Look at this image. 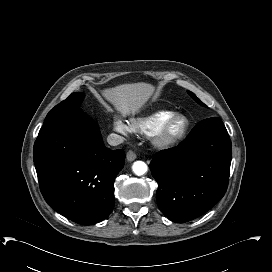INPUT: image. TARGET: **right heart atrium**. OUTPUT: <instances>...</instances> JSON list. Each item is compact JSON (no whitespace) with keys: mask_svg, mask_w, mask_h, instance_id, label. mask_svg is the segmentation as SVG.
<instances>
[{"mask_svg":"<svg viewBox=\"0 0 272 272\" xmlns=\"http://www.w3.org/2000/svg\"><path fill=\"white\" fill-rule=\"evenodd\" d=\"M113 129L121 135H127L131 132L130 124L120 117H115L113 120Z\"/></svg>","mask_w":272,"mask_h":272,"instance_id":"1","label":"right heart atrium"}]
</instances>
